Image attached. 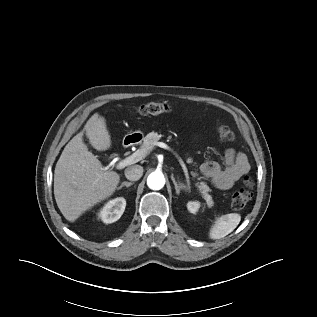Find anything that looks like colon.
Returning a JSON list of instances; mask_svg holds the SVG:
<instances>
[{
  "label": "colon",
  "instance_id": "5ec220e1",
  "mask_svg": "<svg viewBox=\"0 0 317 317\" xmlns=\"http://www.w3.org/2000/svg\"><path fill=\"white\" fill-rule=\"evenodd\" d=\"M168 106L163 102H149L141 105L138 108V113L142 116H154L167 112ZM218 133L220 137L225 141H232L234 135L232 131L225 125L218 127ZM244 187L233 193L231 199L232 208L235 210L243 209L252 198V186L253 182L249 176H246L243 180Z\"/></svg>",
  "mask_w": 317,
  "mask_h": 317
}]
</instances>
